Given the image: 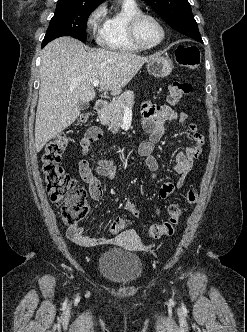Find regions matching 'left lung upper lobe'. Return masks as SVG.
Returning <instances> with one entry per match:
<instances>
[{
	"instance_id": "obj_1",
	"label": "left lung upper lobe",
	"mask_w": 247,
	"mask_h": 332,
	"mask_svg": "<svg viewBox=\"0 0 247 332\" xmlns=\"http://www.w3.org/2000/svg\"><path fill=\"white\" fill-rule=\"evenodd\" d=\"M176 31L202 42L188 0H143Z\"/></svg>"
}]
</instances>
